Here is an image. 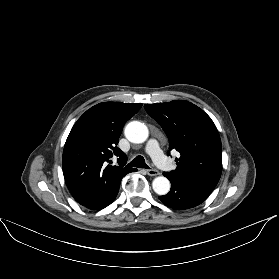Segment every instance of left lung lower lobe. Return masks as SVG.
Instances as JSON below:
<instances>
[{
	"instance_id": "1",
	"label": "left lung lower lobe",
	"mask_w": 279,
	"mask_h": 279,
	"mask_svg": "<svg viewBox=\"0 0 279 279\" xmlns=\"http://www.w3.org/2000/svg\"><path fill=\"white\" fill-rule=\"evenodd\" d=\"M164 176H166L164 174ZM167 177V176H166ZM171 190L168 194L160 196L159 199L167 206L176 210L190 209L201 204L209 194L201 192L190 186L181 184L169 177Z\"/></svg>"
}]
</instances>
